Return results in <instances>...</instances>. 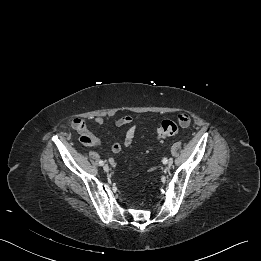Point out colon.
I'll list each match as a JSON object with an SVG mask.
<instances>
[{
    "instance_id": "colon-1",
    "label": "colon",
    "mask_w": 261,
    "mask_h": 261,
    "mask_svg": "<svg viewBox=\"0 0 261 261\" xmlns=\"http://www.w3.org/2000/svg\"><path fill=\"white\" fill-rule=\"evenodd\" d=\"M189 120L186 117H177L176 121L165 120L161 123L157 130V137L160 140H164L168 137L175 136L179 131V125L188 124Z\"/></svg>"
}]
</instances>
